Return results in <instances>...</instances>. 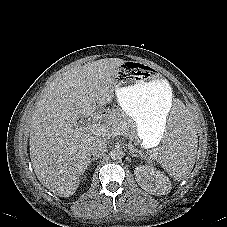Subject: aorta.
<instances>
[{"instance_id":"obj_1","label":"aorta","mask_w":227,"mask_h":227,"mask_svg":"<svg viewBox=\"0 0 227 227\" xmlns=\"http://www.w3.org/2000/svg\"><path fill=\"white\" fill-rule=\"evenodd\" d=\"M110 157L112 160H119L122 158V151L119 149H113L110 152Z\"/></svg>"}]
</instances>
